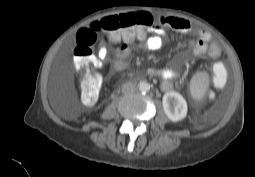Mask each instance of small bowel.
<instances>
[{"instance_id":"obj_1","label":"small bowel","mask_w":255,"mask_h":177,"mask_svg":"<svg viewBox=\"0 0 255 177\" xmlns=\"http://www.w3.org/2000/svg\"><path fill=\"white\" fill-rule=\"evenodd\" d=\"M170 27L180 33H196L198 38L188 44L186 50L191 52L196 57L208 56L216 61L220 57L219 47L211 42V35L208 31L196 27L192 22L180 17L162 16L158 23L151 29H147L136 38L130 41H125L120 45L114 53L113 69L122 71L127 67L128 57L130 54L129 44L137 41L150 51H157L163 46V38L165 36V28ZM109 55V49L106 45H102L98 50V58L95 60V65L106 60ZM150 74L162 78L161 88L164 91L172 89V79L178 78L180 73L173 68L166 69H151Z\"/></svg>"}]
</instances>
